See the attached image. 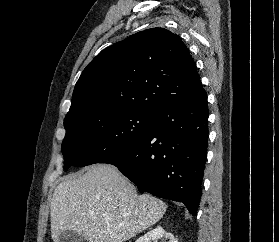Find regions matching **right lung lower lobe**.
Here are the masks:
<instances>
[{
    "label": "right lung lower lobe",
    "mask_w": 279,
    "mask_h": 242,
    "mask_svg": "<svg viewBox=\"0 0 279 242\" xmlns=\"http://www.w3.org/2000/svg\"><path fill=\"white\" fill-rule=\"evenodd\" d=\"M205 90L154 113L150 133L100 163L116 166L140 192L179 201L197 215L208 147Z\"/></svg>",
    "instance_id": "obj_1"
}]
</instances>
